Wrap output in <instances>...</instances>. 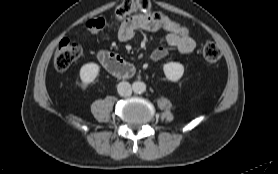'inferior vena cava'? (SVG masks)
<instances>
[{
	"label": "inferior vena cava",
	"instance_id": "inferior-vena-cava-1",
	"mask_svg": "<svg viewBox=\"0 0 278 174\" xmlns=\"http://www.w3.org/2000/svg\"><path fill=\"white\" fill-rule=\"evenodd\" d=\"M117 91L120 96L127 97L132 94V87L129 82H120L117 86Z\"/></svg>",
	"mask_w": 278,
	"mask_h": 174
}]
</instances>
